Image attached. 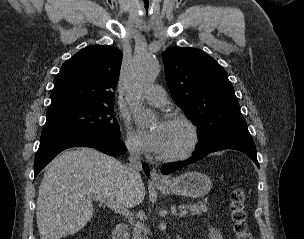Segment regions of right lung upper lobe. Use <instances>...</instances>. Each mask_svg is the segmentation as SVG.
<instances>
[{
    "label": "right lung upper lobe",
    "mask_w": 304,
    "mask_h": 239,
    "mask_svg": "<svg viewBox=\"0 0 304 239\" xmlns=\"http://www.w3.org/2000/svg\"><path fill=\"white\" fill-rule=\"evenodd\" d=\"M122 52L112 46H88L67 60L54 79L47 114L113 105Z\"/></svg>",
    "instance_id": "right-lung-upper-lobe-1"
}]
</instances>
